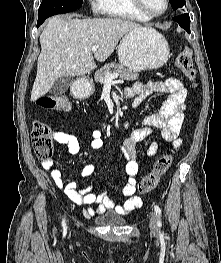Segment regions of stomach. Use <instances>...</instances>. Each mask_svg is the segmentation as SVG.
<instances>
[{
	"label": "stomach",
	"instance_id": "0dacf381",
	"mask_svg": "<svg viewBox=\"0 0 221 263\" xmlns=\"http://www.w3.org/2000/svg\"><path fill=\"white\" fill-rule=\"evenodd\" d=\"M120 63L134 71L159 69L170 58L166 39L157 31L133 30L127 33L118 46ZM89 91L92 90L90 86Z\"/></svg>",
	"mask_w": 221,
	"mask_h": 263
}]
</instances>
